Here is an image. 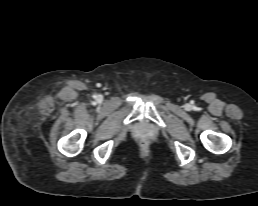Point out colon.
<instances>
[{
    "mask_svg": "<svg viewBox=\"0 0 258 206\" xmlns=\"http://www.w3.org/2000/svg\"><path fill=\"white\" fill-rule=\"evenodd\" d=\"M148 145H149V142H148V140H147V139L142 140V142H141V146H142L143 148H147V147H148Z\"/></svg>",
    "mask_w": 258,
    "mask_h": 206,
    "instance_id": "obj_1",
    "label": "colon"
}]
</instances>
